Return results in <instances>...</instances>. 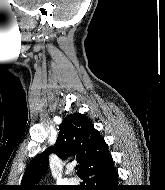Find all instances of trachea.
Here are the masks:
<instances>
[{
  "instance_id": "1",
  "label": "trachea",
  "mask_w": 165,
  "mask_h": 190,
  "mask_svg": "<svg viewBox=\"0 0 165 190\" xmlns=\"http://www.w3.org/2000/svg\"><path fill=\"white\" fill-rule=\"evenodd\" d=\"M75 169L77 170V169H78V166H76Z\"/></svg>"
}]
</instances>
